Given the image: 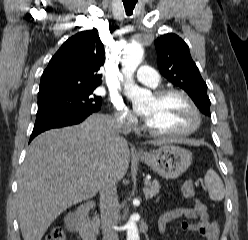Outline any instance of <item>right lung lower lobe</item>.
I'll return each instance as SVG.
<instances>
[{"label": "right lung lower lobe", "mask_w": 248, "mask_h": 240, "mask_svg": "<svg viewBox=\"0 0 248 240\" xmlns=\"http://www.w3.org/2000/svg\"><path fill=\"white\" fill-rule=\"evenodd\" d=\"M92 113L94 111H70L59 108L39 109L30 141L46 130L78 124Z\"/></svg>", "instance_id": "obj_1"}]
</instances>
